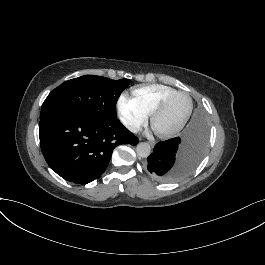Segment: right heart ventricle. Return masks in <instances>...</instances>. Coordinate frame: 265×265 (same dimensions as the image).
I'll return each instance as SVG.
<instances>
[{
    "instance_id": "e07e8e85",
    "label": "right heart ventricle",
    "mask_w": 265,
    "mask_h": 265,
    "mask_svg": "<svg viewBox=\"0 0 265 265\" xmlns=\"http://www.w3.org/2000/svg\"><path fill=\"white\" fill-rule=\"evenodd\" d=\"M173 90V88L167 86L152 84L133 89L132 93L135 100L139 101L146 108L148 113H152L159 99Z\"/></svg>"
}]
</instances>
